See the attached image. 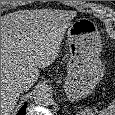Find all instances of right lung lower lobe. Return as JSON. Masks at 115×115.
<instances>
[{
  "label": "right lung lower lobe",
  "mask_w": 115,
  "mask_h": 115,
  "mask_svg": "<svg viewBox=\"0 0 115 115\" xmlns=\"http://www.w3.org/2000/svg\"><path fill=\"white\" fill-rule=\"evenodd\" d=\"M26 105L27 104L23 105V107L20 109L17 115H25Z\"/></svg>",
  "instance_id": "obj_1"
}]
</instances>
